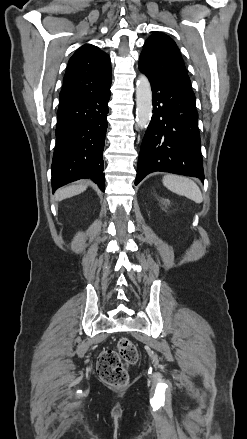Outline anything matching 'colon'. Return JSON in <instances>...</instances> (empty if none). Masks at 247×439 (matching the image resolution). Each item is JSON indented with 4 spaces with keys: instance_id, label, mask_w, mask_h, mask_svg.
Wrapping results in <instances>:
<instances>
[{
    "instance_id": "1",
    "label": "colon",
    "mask_w": 247,
    "mask_h": 439,
    "mask_svg": "<svg viewBox=\"0 0 247 439\" xmlns=\"http://www.w3.org/2000/svg\"><path fill=\"white\" fill-rule=\"evenodd\" d=\"M137 360L138 353L132 341L122 338L118 341L117 350L101 353L97 363L99 377L111 387L122 388L128 382L129 367Z\"/></svg>"
}]
</instances>
